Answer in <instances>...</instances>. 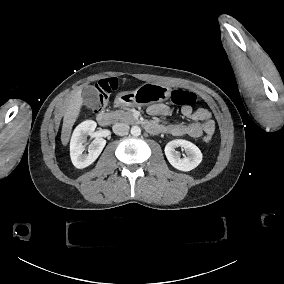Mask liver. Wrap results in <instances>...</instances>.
<instances>
[{
	"label": "liver",
	"mask_w": 284,
	"mask_h": 284,
	"mask_svg": "<svg viewBox=\"0 0 284 284\" xmlns=\"http://www.w3.org/2000/svg\"><path fill=\"white\" fill-rule=\"evenodd\" d=\"M82 89L73 92L65 102V113L63 118V126L61 132V141L63 145H67L70 139L71 129L78 117L80 108L83 104L81 97Z\"/></svg>",
	"instance_id": "obj_1"
}]
</instances>
